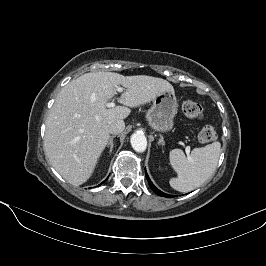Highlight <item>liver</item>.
Segmentation results:
<instances>
[{
	"mask_svg": "<svg viewBox=\"0 0 266 266\" xmlns=\"http://www.w3.org/2000/svg\"><path fill=\"white\" fill-rule=\"evenodd\" d=\"M118 85L126 88L119 99L125 106L107 108ZM164 92L174 93L173 86L147 75L102 71L72 80L56 97L46 120L44 151L50 164L70 184L85 183L109 142V123L127 118L128 107L149 103Z\"/></svg>",
	"mask_w": 266,
	"mask_h": 266,
	"instance_id": "obj_1",
	"label": "liver"
}]
</instances>
